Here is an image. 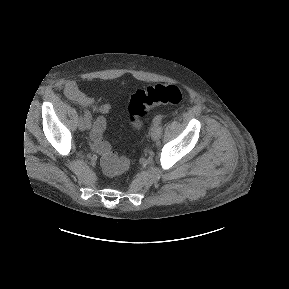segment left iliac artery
Segmentation results:
<instances>
[{
  "label": "left iliac artery",
  "mask_w": 289,
  "mask_h": 289,
  "mask_svg": "<svg viewBox=\"0 0 289 289\" xmlns=\"http://www.w3.org/2000/svg\"><path fill=\"white\" fill-rule=\"evenodd\" d=\"M163 116L161 114L156 115L153 119V124L154 125H160L162 121Z\"/></svg>",
  "instance_id": "left-iliac-artery-1"
}]
</instances>
